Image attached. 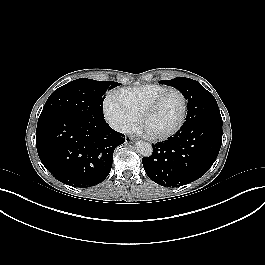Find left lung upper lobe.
Listing matches in <instances>:
<instances>
[{
    "instance_id": "obj_1",
    "label": "left lung upper lobe",
    "mask_w": 265,
    "mask_h": 265,
    "mask_svg": "<svg viewBox=\"0 0 265 265\" xmlns=\"http://www.w3.org/2000/svg\"><path fill=\"white\" fill-rule=\"evenodd\" d=\"M160 83L170 85L178 89L183 94L185 99L188 100V102L192 97L193 90L202 87L197 81L185 77H177L167 81L162 80Z\"/></svg>"
}]
</instances>
